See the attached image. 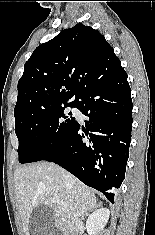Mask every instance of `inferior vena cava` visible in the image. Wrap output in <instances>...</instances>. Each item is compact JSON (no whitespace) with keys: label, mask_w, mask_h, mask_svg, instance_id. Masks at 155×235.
<instances>
[{"label":"inferior vena cava","mask_w":155,"mask_h":235,"mask_svg":"<svg viewBox=\"0 0 155 235\" xmlns=\"http://www.w3.org/2000/svg\"><path fill=\"white\" fill-rule=\"evenodd\" d=\"M79 219H78V217H74V220H73V223H75V222H77Z\"/></svg>","instance_id":"inferior-vena-cava-1"}]
</instances>
